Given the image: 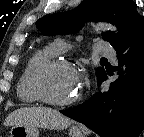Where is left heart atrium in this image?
<instances>
[{"instance_id": "39dd6f15", "label": "left heart atrium", "mask_w": 144, "mask_h": 137, "mask_svg": "<svg viewBox=\"0 0 144 137\" xmlns=\"http://www.w3.org/2000/svg\"><path fill=\"white\" fill-rule=\"evenodd\" d=\"M76 84H77V89L79 90L82 85H83V79L80 75L77 74L76 76Z\"/></svg>"}]
</instances>
